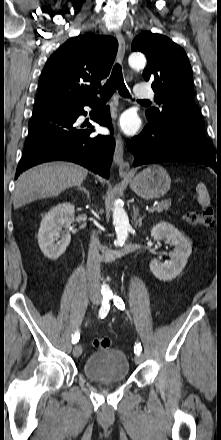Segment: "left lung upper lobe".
<instances>
[{
	"label": "left lung upper lobe",
	"instance_id": "obj_1",
	"mask_svg": "<svg viewBox=\"0 0 221 440\" xmlns=\"http://www.w3.org/2000/svg\"><path fill=\"white\" fill-rule=\"evenodd\" d=\"M132 51L146 55L143 71L152 82L155 101L161 109L146 111L148 121L162 123L169 118H184L204 124L193 98L192 69L185 51L164 35L144 31L132 42Z\"/></svg>",
	"mask_w": 221,
	"mask_h": 440
}]
</instances>
